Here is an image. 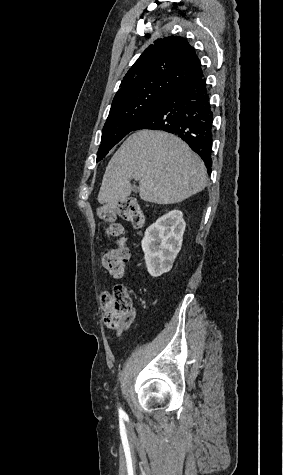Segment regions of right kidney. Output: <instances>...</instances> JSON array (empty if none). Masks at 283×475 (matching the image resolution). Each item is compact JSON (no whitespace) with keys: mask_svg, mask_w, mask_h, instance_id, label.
I'll return each mask as SVG.
<instances>
[{"mask_svg":"<svg viewBox=\"0 0 283 475\" xmlns=\"http://www.w3.org/2000/svg\"><path fill=\"white\" fill-rule=\"evenodd\" d=\"M185 226L182 212L172 210L147 228L141 245L150 275L158 277L170 271L181 249Z\"/></svg>","mask_w":283,"mask_h":475,"instance_id":"1","label":"right kidney"}]
</instances>
